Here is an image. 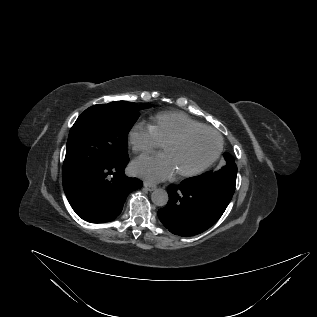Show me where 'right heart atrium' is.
Returning <instances> with one entry per match:
<instances>
[{"label":"right heart atrium","mask_w":317,"mask_h":317,"mask_svg":"<svg viewBox=\"0 0 317 317\" xmlns=\"http://www.w3.org/2000/svg\"><path fill=\"white\" fill-rule=\"evenodd\" d=\"M128 143L134 152L142 154L161 146L150 125L144 122H137L132 125L128 132Z\"/></svg>","instance_id":"right-heart-atrium-1"}]
</instances>
